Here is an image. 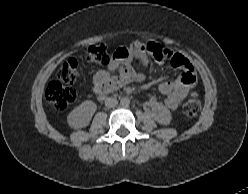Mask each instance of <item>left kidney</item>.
Masks as SVG:
<instances>
[{
    "mask_svg": "<svg viewBox=\"0 0 248 194\" xmlns=\"http://www.w3.org/2000/svg\"><path fill=\"white\" fill-rule=\"evenodd\" d=\"M157 108L158 112L154 113V119L162 125H168L172 118L170 111L161 104H158Z\"/></svg>",
    "mask_w": 248,
    "mask_h": 194,
    "instance_id": "5707ae66",
    "label": "left kidney"
}]
</instances>
